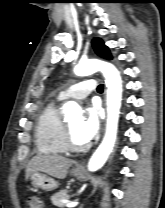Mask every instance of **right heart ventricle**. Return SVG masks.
Masks as SVG:
<instances>
[{
  "instance_id": "right-heart-ventricle-1",
  "label": "right heart ventricle",
  "mask_w": 165,
  "mask_h": 208,
  "mask_svg": "<svg viewBox=\"0 0 165 208\" xmlns=\"http://www.w3.org/2000/svg\"><path fill=\"white\" fill-rule=\"evenodd\" d=\"M64 122L61 118L57 101L49 102L40 113L35 128L37 149L48 155L64 154Z\"/></svg>"
}]
</instances>
